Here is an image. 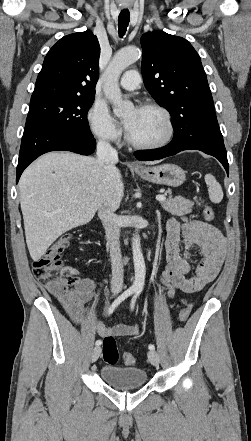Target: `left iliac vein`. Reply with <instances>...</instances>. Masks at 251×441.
Segmentation results:
<instances>
[{"instance_id": "left-iliac-vein-1", "label": "left iliac vein", "mask_w": 251, "mask_h": 441, "mask_svg": "<svg viewBox=\"0 0 251 441\" xmlns=\"http://www.w3.org/2000/svg\"><path fill=\"white\" fill-rule=\"evenodd\" d=\"M148 359L152 365H154V366L159 365L160 359H159V355L156 351L150 350L148 352Z\"/></svg>"}]
</instances>
